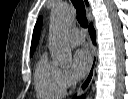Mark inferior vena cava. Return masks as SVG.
Wrapping results in <instances>:
<instances>
[{
  "mask_svg": "<svg viewBox=\"0 0 128 99\" xmlns=\"http://www.w3.org/2000/svg\"><path fill=\"white\" fill-rule=\"evenodd\" d=\"M73 86H74V87L76 86V81H75V82H73Z\"/></svg>",
  "mask_w": 128,
  "mask_h": 99,
  "instance_id": "1",
  "label": "inferior vena cava"
}]
</instances>
